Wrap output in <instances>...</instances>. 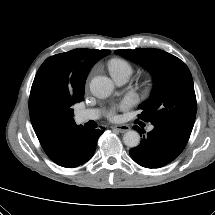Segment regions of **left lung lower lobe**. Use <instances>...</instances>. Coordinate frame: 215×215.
Returning <instances> with one entry per match:
<instances>
[{
	"mask_svg": "<svg viewBox=\"0 0 215 215\" xmlns=\"http://www.w3.org/2000/svg\"><path fill=\"white\" fill-rule=\"evenodd\" d=\"M154 129L144 135L140 144L130 150L131 158L146 168H160L173 161L185 148L188 140L175 132L153 124ZM139 133L141 129L134 126ZM144 134V131H142Z\"/></svg>",
	"mask_w": 215,
	"mask_h": 215,
	"instance_id": "left-lung-lower-lobe-1",
	"label": "left lung lower lobe"
}]
</instances>
